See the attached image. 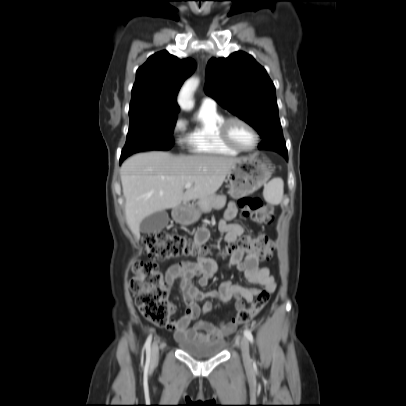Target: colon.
<instances>
[{
	"mask_svg": "<svg viewBox=\"0 0 406 406\" xmlns=\"http://www.w3.org/2000/svg\"><path fill=\"white\" fill-rule=\"evenodd\" d=\"M242 216L257 224H269L273 221L274 212L263 204L258 197L245 196L239 200ZM147 257L145 262H138L134 267V276L130 289L136 298L141 314L150 322L167 326L171 323L172 304L168 300L169 290L163 275L155 261H166L181 257L203 256L205 247L191 241L188 237L165 231L149 233L144 238ZM272 241L264 235H245L238 242L230 244L225 254L251 253L262 260L272 257ZM271 292L264 289L259 292L248 307L240 309L234 322L246 324L257 316L270 300Z\"/></svg>",
	"mask_w": 406,
	"mask_h": 406,
	"instance_id": "5ec220e1",
	"label": "colon"
}]
</instances>
